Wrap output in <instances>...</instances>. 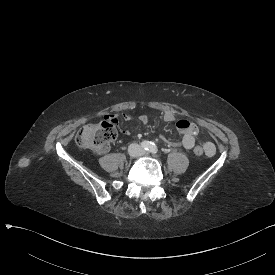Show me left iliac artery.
<instances>
[{
    "mask_svg": "<svg viewBox=\"0 0 275 275\" xmlns=\"http://www.w3.org/2000/svg\"><path fill=\"white\" fill-rule=\"evenodd\" d=\"M157 151H158V149H157L156 144L155 143H151L150 148H149V152L156 153Z\"/></svg>",
    "mask_w": 275,
    "mask_h": 275,
    "instance_id": "1",
    "label": "left iliac artery"
}]
</instances>
